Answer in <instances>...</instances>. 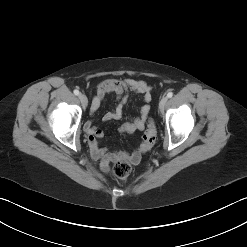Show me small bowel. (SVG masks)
<instances>
[{
    "mask_svg": "<svg viewBox=\"0 0 247 247\" xmlns=\"http://www.w3.org/2000/svg\"><path fill=\"white\" fill-rule=\"evenodd\" d=\"M151 92V87L142 80L131 78L122 80L108 79L98 85L96 94L92 99L90 112L93 115L107 95L115 94L118 99V104L112 111L107 112L103 118L105 121L121 120L123 117L124 106L128 101L129 93L140 94L145 102H150L152 99ZM149 112V105H143L139 109L138 116L132 120L124 122L120 126L119 130L127 133H134L143 130ZM84 131L88 137L91 154L93 158L99 162L103 171H109V165L113 161L126 160L134 165L140 161V154L137 151H109L102 147L99 140L104 137V132L103 130L96 128L91 120L84 124Z\"/></svg>",
    "mask_w": 247,
    "mask_h": 247,
    "instance_id": "1",
    "label": "small bowel"
}]
</instances>
